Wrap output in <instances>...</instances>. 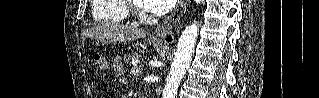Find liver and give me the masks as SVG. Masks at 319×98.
Returning a JSON list of instances; mask_svg holds the SVG:
<instances>
[{
  "label": "liver",
  "instance_id": "obj_1",
  "mask_svg": "<svg viewBox=\"0 0 319 98\" xmlns=\"http://www.w3.org/2000/svg\"><path fill=\"white\" fill-rule=\"evenodd\" d=\"M83 35L100 42H129L145 37L146 32L132 26L104 24L84 31Z\"/></svg>",
  "mask_w": 319,
  "mask_h": 98
}]
</instances>
